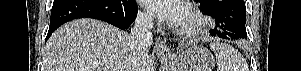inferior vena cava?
Returning a JSON list of instances; mask_svg holds the SVG:
<instances>
[{
	"label": "inferior vena cava",
	"instance_id": "inferior-vena-cava-1",
	"mask_svg": "<svg viewBox=\"0 0 301 71\" xmlns=\"http://www.w3.org/2000/svg\"><path fill=\"white\" fill-rule=\"evenodd\" d=\"M153 27L152 17L149 14H138L134 27L131 29V35L134 40V46L137 53L145 54L148 52V48L152 44V32L151 29ZM128 71H140L141 69H137L136 61H133Z\"/></svg>",
	"mask_w": 301,
	"mask_h": 71
}]
</instances>
